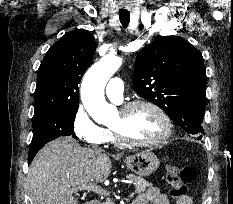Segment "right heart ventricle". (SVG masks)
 Returning a JSON list of instances; mask_svg holds the SVG:
<instances>
[{
    "label": "right heart ventricle",
    "mask_w": 233,
    "mask_h": 204,
    "mask_svg": "<svg viewBox=\"0 0 233 204\" xmlns=\"http://www.w3.org/2000/svg\"><path fill=\"white\" fill-rule=\"evenodd\" d=\"M106 133H107V142H115L116 139L114 137V135L112 134V132L109 129H105Z\"/></svg>",
    "instance_id": "e07e8e85"
}]
</instances>
